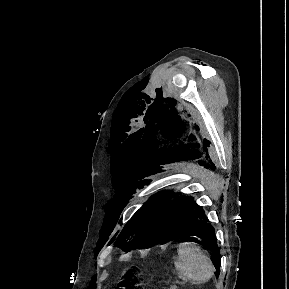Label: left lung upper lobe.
<instances>
[{
	"mask_svg": "<svg viewBox=\"0 0 289 289\" xmlns=\"http://www.w3.org/2000/svg\"><path fill=\"white\" fill-rule=\"evenodd\" d=\"M172 192L162 191L151 197L128 221L118 236L115 245L125 251L140 249L152 244L166 242L168 218L163 211L176 197Z\"/></svg>",
	"mask_w": 289,
	"mask_h": 289,
	"instance_id": "obj_1",
	"label": "left lung upper lobe"
}]
</instances>
